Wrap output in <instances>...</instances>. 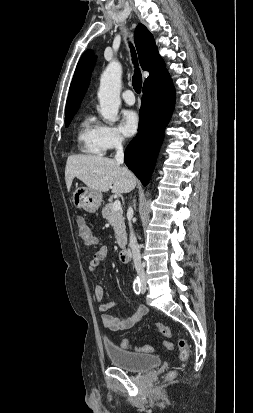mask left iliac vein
Instances as JSON below:
<instances>
[{
	"instance_id": "left-iliac-vein-1",
	"label": "left iliac vein",
	"mask_w": 253,
	"mask_h": 413,
	"mask_svg": "<svg viewBox=\"0 0 253 413\" xmlns=\"http://www.w3.org/2000/svg\"><path fill=\"white\" fill-rule=\"evenodd\" d=\"M141 291H142V293H145V291H146V283L144 281L142 283Z\"/></svg>"
}]
</instances>
